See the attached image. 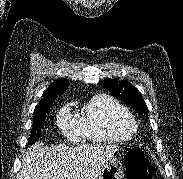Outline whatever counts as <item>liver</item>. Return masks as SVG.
Wrapping results in <instances>:
<instances>
[{
    "instance_id": "6515ba94",
    "label": "liver",
    "mask_w": 183,
    "mask_h": 179,
    "mask_svg": "<svg viewBox=\"0 0 183 179\" xmlns=\"http://www.w3.org/2000/svg\"><path fill=\"white\" fill-rule=\"evenodd\" d=\"M117 151L116 145L65 144L48 150L44 143L37 142L27 149L18 179H98Z\"/></svg>"
}]
</instances>
